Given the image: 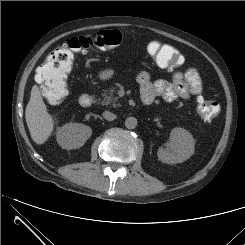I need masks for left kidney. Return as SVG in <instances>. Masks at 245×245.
I'll return each instance as SVG.
<instances>
[{
	"mask_svg": "<svg viewBox=\"0 0 245 245\" xmlns=\"http://www.w3.org/2000/svg\"><path fill=\"white\" fill-rule=\"evenodd\" d=\"M195 140L184 128L176 127L170 133V140L165 148H159L158 159L166 164L182 163L194 154Z\"/></svg>",
	"mask_w": 245,
	"mask_h": 245,
	"instance_id": "5707ae66",
	"label": "left kidney"
}]
</instances>
